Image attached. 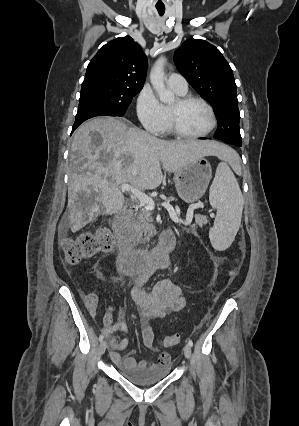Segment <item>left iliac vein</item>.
I'll return each instance as SVG.
<instances>
[{"label":"left iliac vein","mask_w":299,"mask_h":426,"mask_svg":"<svg viewBox=\"0 0 299 426\" xmlns=\"http://www.w3.org/2000/svg\"><path fill=\"white\" fill-rule=\"evenodd\" d=\"M183 352H184L185 357L187 359H190V357H191V347L188 344L184 346Z\"/></svg>","instance_id":"1"}]
</instances>
